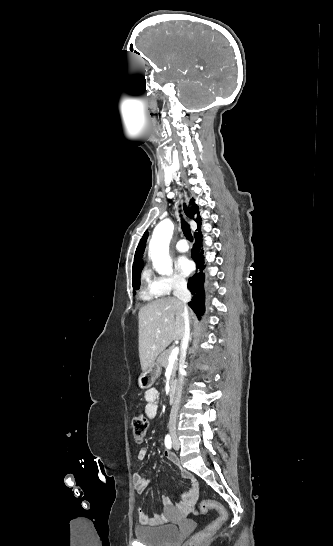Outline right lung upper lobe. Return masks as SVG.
Returning <instances> with one entry per match:
<instances>
[{
  "label": "right lung upper lobe",
  "instance_id": "1",
  "mask_svg": "<svg viewBox=\"0 0 333 546\" xmlns=\"http://www.w3.org/2000/svg\"><path fill=\"white\" fill-rule=\"evenodd\" d=\"M193 200H191L190 202V206L187 208L186 205H184V211L186 213V215L191 218V219H194V215L196 213H198V206L196 204H193ZM196 222L198 224V230H200V226H201V218L198 214L197 216V219H196ZM199 232V231H198ZM196 234V233H195ZM147 238H148V231H146L143 235V237L141 238L139 244H138V247L136 249V253H135V257H134V263H133V283L135 281V275L136 274H140L142 268H143V264H142V257H143V253H144V250H145V246H146V241H147Z\"/></svg>",
  "mask_w": 333,
  "mask_h": 546
}]
</instances>
